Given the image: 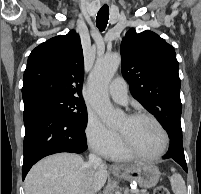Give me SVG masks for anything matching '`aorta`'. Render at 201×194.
I'll return each mask as SVG.
<instances>
[{
	"label": "aorta",
	"instance_id": "1",
	"mask_svg": "<svg viewBox=\"0 0 201 194\" xmlns=\"http://www.w3.org/2000/svg\"><path fill=\"white\" fill-rule=\"evenodd\" d=\"M120 64L121 56L118 53L98 59L88 81L89 101L102 121L111 128L118 126L124 116L121 110L112 107L108 97L109 83Z\"/></svg>",
	"mask_w": 201,
	"mask_h": 194
}]
</instances>
